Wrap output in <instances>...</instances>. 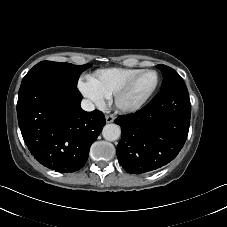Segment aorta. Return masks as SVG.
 <instances>
[{
	"mask_svg": "<svg viewBox=\"0 0 227 227\" xmlns=\"http://www.w3.org/2000/svg\"><path fill=\"white\" fill-rule=\"evenodd\" d=\"M102 135L107 141H115L121 135L120 126H118L117 124H107L102 130Z\"/></svg>",
	"mask_w": 227,
	"mask_h": 227,
	"instance_id": "762f6f07",
	"label": "aorta"
}]
</instances>
